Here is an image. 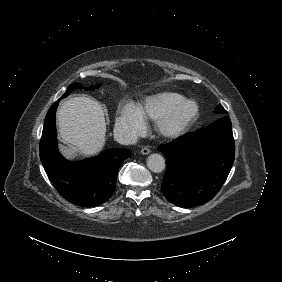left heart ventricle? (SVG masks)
I'll use <instances>...</instances> for the list:
<instances>
[{"label": "left heart ventricle", "mask_w": 282, "mask_h": 282, "mask_svg": "<svg viewBox=\"0 0 282 282\" xmlns=\"http://www.w3.org/2000/svg\"><path fill=\"white\" fill-rule=\"evenodd\" d=\"M187 111L190 112V113H193L195 112V107L193 104H190L187 106Z\"/></svg>", "instance_id": "b2bd125f"}]
</instances>
